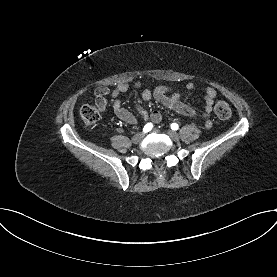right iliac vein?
Here are the masks:
<instances>
[{
    "label": "right iliac vein",
    "instance_id": "right-iliac-vein-1",
    "mask_svg": "<svg viewBox=\"0 0 277 277\" xmlns=\"http://www.w3.org/2000/svg\"><path fill=\"white\" fill-rule=\"evenodd\" d=\"M145 134L144 133H137L133 136L132 138V142L137 144L139 142L142 141V139L144 138Z\"/></svg>",
    "mask_w": 277,
    "mask_h": 277
}]
</instances>
